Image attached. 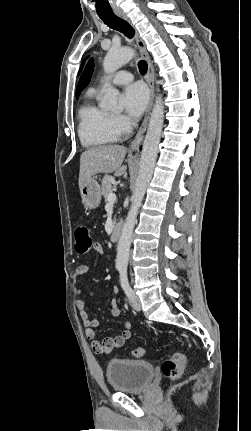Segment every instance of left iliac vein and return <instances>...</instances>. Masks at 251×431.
<instances>
[{"label":"left iliac vein","mask_w":251,"mask_h":431,"mask_svg":"<svg viewBox=\"0 0 251 431\" xmlns=\"http://www.w3.org/2000/svg\"><path fill=\"white\" fill-rule=\"evenodd\" d=\"M131 305L136 311L141 310V301L139 297L133 292L132 298H131Z\"/></svg>","instance_id":"left-iliac-vein-1"}]
</instances>
